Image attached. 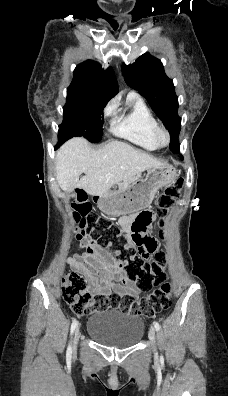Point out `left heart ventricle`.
I'll list each match as a JSON object with an SVG mask.
<instances>
[{
	"instance_id": "left-heart-ventricle-1",
	"label": "left heart ventricle",
	"mask_w": 228,
	"mask_h": 396,
	"mask_svg": "<svg viewBox=\"0 0 228 396\" xmlns=\"http://www.w3.org/2000/svg\"><path fill=\"white\" fill-rule=\"evenodd\" d=\"M160 141H161V142H164V141H165V139H164L163 136L160 137Z\"/></svg>"
}]
</instances>
